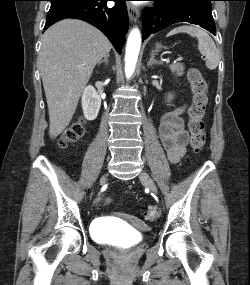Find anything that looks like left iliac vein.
<instances>
[{
  "mask_svg": "<svg viewBox=\"0 0 250 285\" xmlns=\"http://www.w3.org/2000/svg\"><path fill=\"white\" fill-rule=\"evenodd\" d=\"M139 178L142 182L146 184V186L150 189L152 193L157 194V187L147 172L142 171L139 175Z\"/></svg>",
  "mask_w": 250,
  "mask_h": 285,
  "instance_id": "4c4485c4",
  "label": "left iliac vein"
}]
</instances>
